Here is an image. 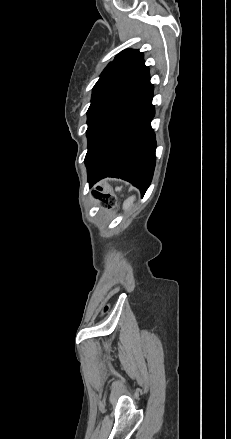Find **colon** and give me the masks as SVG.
Segmentation results:
<instances>
[{
	"label": "colon",
	"instance_id": "colon-1",
	"mask_svg": "<svg viewBox=\"0 0 231 439\" xmlns=\"http://www.w3.org/2000/svg\"><path fill=\"white\" fill-rule=\"evenodd\" d=\"M99 199L105 208L113 207L116 202V199L113 195H100Z\"/></svg>",
	"mask_w": 231,
	"mask_h": 439
}]
</instances>
